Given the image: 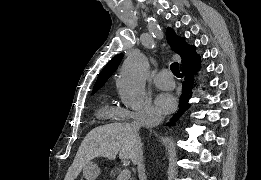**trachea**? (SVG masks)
I'll return each mask as SVG.
<instances>
[{
	"label": "trachea",
	"mask_w": 261,
	"mask_h": 180,
	"mask_svg": "<svg viewBox=\"0 0 261 180\" xmlns=\"http://www.w3.org/2000/svg\"><path fill=\"white\" fill-rule=\"evenodd\" d=\"M170 69L175 77L182 78V74L180 73L179 65L177 62L171 63Z\"/></svg>",
	"instance_id": "obj_1"
}]
</instances>
